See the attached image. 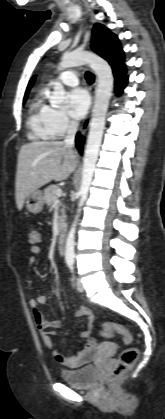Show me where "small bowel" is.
<instances>
[{
	"label": "small bowel",
	"instance_id": "small-bowel-1",
	"mask_svg": "<svg viewBox=\"0 0 165 419\" xmlns=\"http://www.w3.org/2000/svg\"><path fill=\"white\" fill-rule=\"evenodd\" d=\"M30 232H35L32 230ZM30 234V233H29ZM31 242V241H30ZM40 238L37 243H32L30 247L31 256L28 259L29 265H34L37 262V256L41 254V248L39 246ZM46 302L45 296H38L30 300L29 304L33 310V316L35 323L40 331L42 341L44 345L51 350L52 355L55 361L63 366L70 368H78L88 362H90L95 357V351L97 344L92 336L94 316L92 312L86 307H80L77 310V316L86 319V327L81 333V337L85 341L84 347L80 352L73 357L66 356L61 353L58 349L54 347L52 332L50 329H59L61 328V321L59 320H48L44 314L40 311L39 306Z\"/></svg>",
	"mask_w": 165,
	"mask_h": 419
}]
</instances>
